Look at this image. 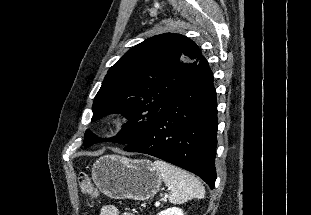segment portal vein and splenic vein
<instances>
[{"label": "portal vein and splenic vein", "instance_id": "obj_1", "mask_svg": "<svg viewBox=\"0 0 311 215\" xmlns=\"http://www.w3.org/2000/svg\"><path fill=\"white\" fill-rule=\"evenodd\" d=\"M167 199V195H165V197L162 199V200H166ZM155 205L156 206H159L160 205V201H157L156 203H155Z\"/></svg>", "mask_w": 311, "mask_h": 215}]
</instances>
